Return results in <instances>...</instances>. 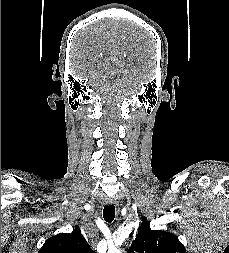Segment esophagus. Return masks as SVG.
Segmentation results:
<instances>
[{
    "label": "esophagus",
    "instance_id": "34e87169",
    "mask_svg": "<svg viewBox=\"0 0 229 253\" xmlns=\"http://www.w3.org/2000/svg\"><path fill=\"white\" fill-rule=\"evenodd\" d=\"M106 204L111 205V204H116V200L113 198H107L106 199Z\"/></svg>",
    "mask_w": 229,
    "mask_h": 253
}]
</instances>
